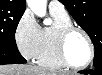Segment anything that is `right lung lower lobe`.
<instances>
[{"label":"right lung lower lobe","mask_w":102,"mask_h":75,"mask_svg":"<svg viewBox=\"0 0 102 75\" xmlns=\"http://www.w3.org/2000/svg\"><path fill=\"white\" fill-rule=\"evenodd\" d=\"M26 63L18 50H0V65Z\"/></svg>","instance_id":"right-lung-lower-lobe-1"}]
</instances>
